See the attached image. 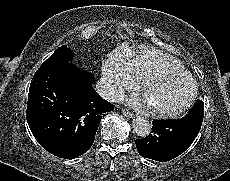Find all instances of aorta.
Returning <instances> with one entry per match:
<instances>
[{
	"mask_svg": "<svg viewBox=\"0 0 230 181\" xmlns=\"http://www.w3.org/2000/svg\"><path fill=\"white\" fill-rule=\"evenodd\" d=\"M132 127H133L134 132L142 138L149 136L152 130V126L150 122L141 116H136L133 119Z\"/></svg>",
	"mask_w": 230,
	"mask_h": 181,
	"instance_id": "aorta-1",
	"label": "aorta"
}]
</instances>
